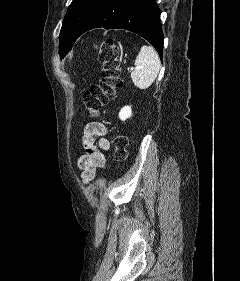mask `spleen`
<instances>
[{
    "label": "spleen",
    "instance_id": "1",
    "mask_svg": "<svg viewBox=\"0 0 240 281\" xmlns=\"http://www.w3.org/2000/svg\"><path fill=\"white\" fill-rule=\"evenodd\" d=\"M160 59L151 46H142L135 59V70L131 74L132 82L139 89H147L155 81L160 70Z\"/></svg>",
    "mask_w": 240,
    "mask_h": 281
}]
</instances>
